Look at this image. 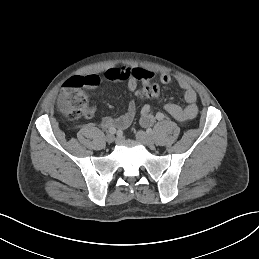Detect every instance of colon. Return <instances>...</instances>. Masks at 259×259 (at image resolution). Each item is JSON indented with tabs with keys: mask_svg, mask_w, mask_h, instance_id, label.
Here are the masks:
<instances>
[{
	"mask_svg": "<svg viewBox=\"0 0 259 259\" xmlns=\"http://www.w3.org/2000/svg\"><path fill=\"white\" fill-rule=\"evenodd\" d=\"M84 87H87V80L80 76L72 77L64 84L59 109L67 118L78 119L87 111ZM137 94L142 98H157L160 95V89L152 83H143Z\"/></svg>",
	"mask_w": 259,
	"mask_h": 259,
	"instance_id": "colon-1",
	"label": "colon"
}]
</instances>
